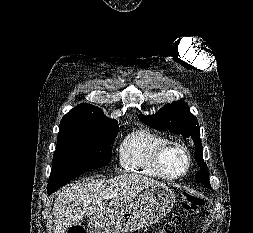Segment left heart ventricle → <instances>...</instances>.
<instances>
[{
  "label": "left heart ventricle",
  "mask_w": 253,
  "mask_h": 233,
  "mask_svg": "<svg viewBox=\"0 0 253 233\" xmlns=\"http://www.w3.org/2000/svg\"><path fill=\"white\" fill-rule=\"evenodd\" d=\"M185 158L180 153H175L170 156L167 162V171L169 173H179L184 170Z\"/></svg>",
  "instance_id": "b2bd125f"
}]
</instances>
